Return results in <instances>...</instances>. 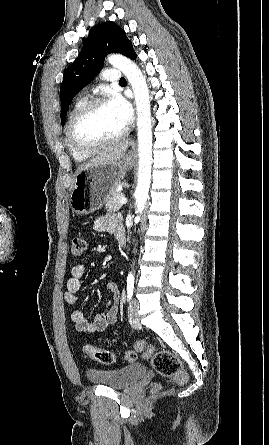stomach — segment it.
I'll use <instances>...</instances> for the list:
<instances>
[{"label": "stomach", "mask_w": 269, "mask_h": 445, "mask_svg": "<svg viewBox=\"0 0 269 445\" xmlns=\"http://www.w3.org/2000/svg\"><path fill=\"white\" fill-rule=\"evenodd\" d=\"M134 163L130 155L114 163H104L79 171L74 179L70 206L78 215L100 209Z\"/></svg>", "instance_id": "obj_1"}]
</instances>
